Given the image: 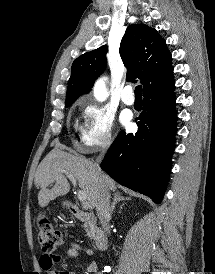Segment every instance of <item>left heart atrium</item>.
Masks as SVG:
<instances>
[{"label": "left heart atrium", "mask_w": 215, "mask_h": 274, "mask_svg": "<svg viewBox=\"0 0 215 274\" xmlns=\"http://www.w3.org/2000/svg\"><path fill=\"white\" fill-rule=\"evenodd\" d=\"M122 121H123L124 123H127V122H128V118H127V117H124V118L122 119Z\"/></svg>", "instance_id": "39dd6f15"}]
</instances>
